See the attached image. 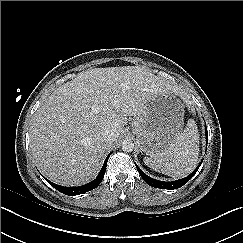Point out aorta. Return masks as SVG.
Returning a JSON list of instances; mask_svg holds the SVG:
<instances>
[{
  "label": "aorta",
  "instance_id": "obj_1",
  "mask_svg": "<svg viewBox=\"0 0 243 243\" xmlns=\"http://www.w3.org/2000/svg\"><path fill=\"white\" fill-rule=\"evenodd\" d=\"M134 149V143L130 139H126L122 142V150L124 152H132Z\"/></svg>",
  "mask_w": 243,
  "mask_h": 243
}]
</instances>
